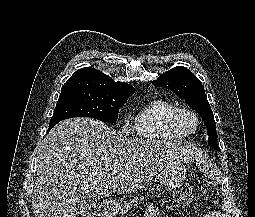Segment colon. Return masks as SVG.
<instances>
[{
    "instance_id": "5ec220e1",
    "label": "colon",
    "mask_w": 255,
    "mask_h": 217,
    "mask_svg": "<svg viewBox=\"0 0 255 217\" xmlns=\"http://www.w3.org/2000/svg\"><path fill=\"white\" fill-rule=\"evenodd\" d=\"M172 199L177 204H187L193 199L192 189L188 185H180L173 191Z\"/></svg>"
}]
</instances>
